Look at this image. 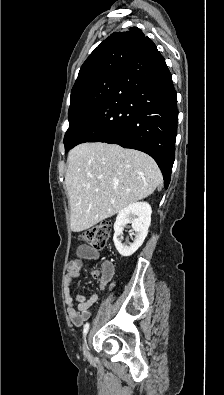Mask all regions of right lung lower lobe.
Wrapping results in <instances>:
<instances>
[{
    "instance_id": "obj_1",
    "label": "right lung lower lobe",
    "mask_w": 224,
    "mask_h": 395,
    "mask_svg": "<svg viewBox=\"0 0 224 395\" xmlns=\"http://www.w3.org/2000/svg\"><path fill=\"white\" fill-rule=\"evenodd\" d=\"M176 101L165 59L147 37L73 147L106 142L145 152L157 162L167 188L175 158Z\"/></svg>"
}]
</instances>
